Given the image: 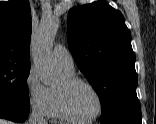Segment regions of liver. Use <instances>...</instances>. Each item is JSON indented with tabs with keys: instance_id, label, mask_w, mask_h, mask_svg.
<instances>
[{
	"instance_id": "obj_1",
	"label": "liver",
	"mask_w": 156,
	"mask_h": 124,
	"mask_svg": "<svg viewBox=\"0 0 156 124\" xmlns=\"http://www.w3.org/2000/svg\"><path fill=\"white\" fill-rule=\"evenodd\" d=\"M0 124H12L10 121L0 119Z\"/></svg>"
}]
</instances>
